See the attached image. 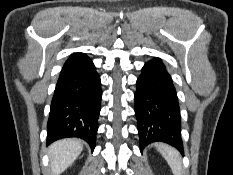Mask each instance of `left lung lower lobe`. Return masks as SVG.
<instances>
[{
    "label": "left lung lower lobe",
    "mask_w": 233,
    "mask_h": 175,
    "mask_svg": "<svg viewBox=\"0 0 233 175\" xmlns=\"http://www.w3.org/2000/svg\"><path fill=\"white\" fill-rule=\"evenodd\" d=\"M136 85L134 99L140 149L161 141L183 154L178 98L172 78L160 58L144 65Z\"/></svg>",
    "instance_id": "obj_1"
}]
</instances>
